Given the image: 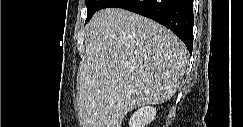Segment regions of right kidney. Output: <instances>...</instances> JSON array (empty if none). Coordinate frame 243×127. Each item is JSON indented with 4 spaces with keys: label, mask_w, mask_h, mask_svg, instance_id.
I'll return each mask as SVG.
<instances>
[{
    "label": "right kidney",
    "mask_w": 243,
    "mask_h": 127,
    "mask_svg": "<svg viewBox=\"0 0 243 127\" xmlns=\"http://www.w3.org/2000/svg\"><path fill=\"white\" fill-rule=\"evenodd\" d=\"M156 108L153 106H143L131 116L129 120L130 127H145L154 120Z\"/></svg>",
    "instance_id": "right-kidney-1"
}]
</instances>
